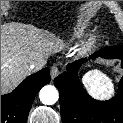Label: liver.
<instances>
[{
	"label": "liver",
	"instance_id": "6515ba94",
	"mask_svg": "<svg viewBox=\"0 0 123 123\" xmlns=\"http://www.w3.org/2000/svg\"><path fill=\"white\" fill-rule=\"evenodd\" d=\"M62 46L59 39L33 25L1 24V94L14 89L30 73L29 64L46 61Z\"/></svg>",
	"mask_w": 123,
	"mask_h": 123
}]
</instances>
